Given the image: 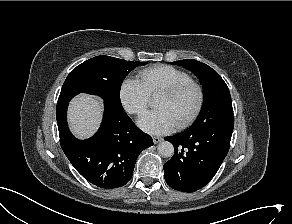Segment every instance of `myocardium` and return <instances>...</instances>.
Masks as SVG:
<instances>
[{
	"mask_svg": "<svg viewBox=\"0 0 292 224\" xmlns=\"http://www.w3.org/2000/svg\"><path fill=\"white\" fill-rule=\"evenodd\" d=\"M188 89H194L196 91L197 102L192 112L183 121H181L180 123L176 125L178 129H183V128L188 127L200 114L205 102V91H204L203 86L196 81L189 80V81H185V82L173 85L171 87H168L162 90L157 95V97L164 96L168 98H174Z\"/></svg>",
	"mask_w": 292,
	"mask_h": 224,
	"instance_id": "obj_1",
	"label": "myocardium"
}]
</instances>
